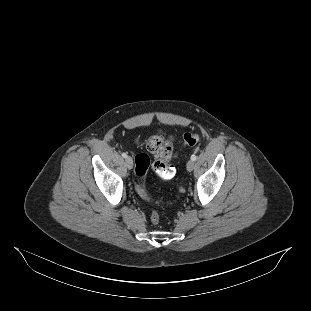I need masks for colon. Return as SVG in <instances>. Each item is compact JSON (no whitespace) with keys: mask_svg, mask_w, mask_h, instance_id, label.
Returning <instances> with one entry per match:
<instances>
[{"mask_svg":"<svg viewBox=\"0 0 311 311\" xmlns=\"http://www.w3.org/2000/svg\"><path fill=\"white\" fill-rule=\"evenodd\" d=\"M199 140L200 135L198 133L188 132L184 135V146H193L197 144ZM145 144L147 150L157 156V160L153 165L155 172L164 180L171 179L175 174L174 168L169 164V161L174 156L171 142L163 138L161 135L156 134L148 137ZM149 166L150 159L146 154H138L135 157L136 190L144 200L155 204H163V202L152 198L146 191L144 176L149 169ZM183 192L184 188L183 186H180L179 193L182 194ZM150 219L154 225H158L160 223V215L158 211L153 210Z\"/></svg>","mask_w":311,"mask_h":311,"instance_id":"obj_1","label":"colon"}]
</instances>
